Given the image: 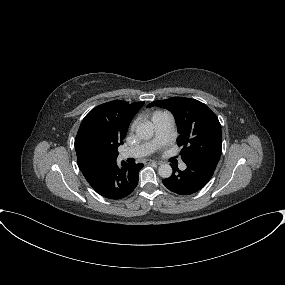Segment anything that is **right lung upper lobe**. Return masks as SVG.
I'll return each mask as SVG.
<instances>
[{"label":"right lung upper lobe","mask_w":285,"mask_h":285,"mask_svg":"<svg viewBox=\"0 0 285 285\" xmlns=\"http://www.w3.org/2000/svg\"><path fill=\"white\" fill-rule=\"evenodd\" d=\"M144 102L129 104L114 100L92 109L82 120L75 150L85 178L116 164L118 146L123 144L129 124Z\"/></svg>","instance_id":"1"}]
</instances>
